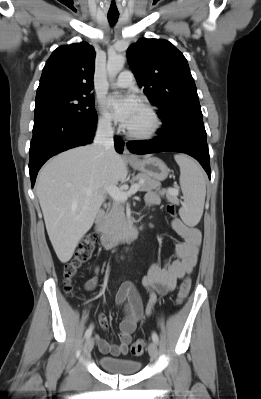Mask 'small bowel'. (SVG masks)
I'll list each match as a JSON object with an SVG mask.
<instances>
[{
    "label": "small bowel",
    "mask_w": 261,
    "mask_h": 399,
    "mask_svg": "<svg viewBox=\"0 0 261 399\" xmlns=\"http://www.w3.org/2000/svg\"><path fill=\"white\" fill-rule=\"evenodd\" d=\"M145 201L148 206H155L160 204V197L157 193L149 191L145 196ZM172 227L184 241L174 246L172 258L166 260L163 264L153 263L148 274L143 278L142 284L149 293L146 315H149L154 307L156 293L166 294L172 291L177 280L190 273L198 261L202 243L200 230L184 224L180 219H173ZM95 272L99 273L98 266L95 267ZM96 284L97 279L91 278L86 282L85 289L90 291L95 288ZM115 302L118 306H124L125 309V316L119 325V343L114 344L106 341L97 334L94 336V340L101 353L120 356L127 354L132 342V334L143 317L144 310L140 295L130 281L121 284ZM99 323L103 329L108 328V320L105 315L99 316Z\"/></svg>",
    "instance_id": "small-bowel-1"
}]
</instances>
